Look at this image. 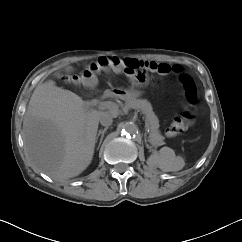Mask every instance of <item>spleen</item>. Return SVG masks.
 Returning a JSON list of instances; mask_svg holds the SVG:
<instances>
[{"label": "spleen", "mask_w": 242, "mask_h": 242, "mask_svg": "<svg viewBox=\"0 0 242 242\" xmlns=\"http://www.w3.org/2000/svg\"><path fill=\"white\" fill-rule=\"evenodd\" d=\"M179 157L175 156L171 148L163 147L159 153L153 154L149 158V163H155L161 170L169 172L178 170L175 162Z\"/></svg>", "instance_id": "3e777b00"}]
</instances>
